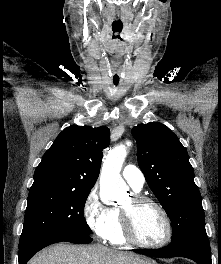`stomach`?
Segmentation results:
<instances>
[{"mask_svg":"<svg viewBox=\"0 0 221 264\" xmlns=\"http://www.w3.org/2000/svg\"><path fill=\"white\" fill-rule=\"evenodd\" d=\"M150 264H156V263L150 262Z\"/></svg>","mask_w":221,"mask_h":264,"instance_id":"stomach-1","label":"stomach"}]
</instances>
